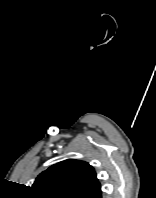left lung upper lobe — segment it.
Here are the masks:
<instances>
[{
  "label": "left lung upper lobe",
  "mask_w": 156,
  "mask_h": 198,
  "mask_svg": "<svg viewBox=\"0 0 156 198\" xmlns=\"http://www.w3.org/2000/svg\"><path fill=\"white\" fill-rule=\"evenodd\" d=\"M32 189L37 198H101L94 168L84 161L65 160L42 172Z\"/></svg>",
  "instance_id": "5c2ea615"
}]
</instances>
